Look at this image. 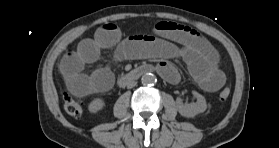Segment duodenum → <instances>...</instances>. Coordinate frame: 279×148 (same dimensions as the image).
<instances>
[{"label":"duodenum","mask_w":279,"mask_h":148,"mask_svg":"<svg viewBox=\"0 0 279 148\" xmlns=\"http://www.w3.org/2000/svg\"><path fill=\"white\" fill-rule=\"evenodd\" d=\"M154 70L155 68L152 65L139 66L121 76V78L119 79V84L123 86L131 81L139 79L143 75L153 72Z\"/></svg>","instance_id":"410a0bca"}]
</instances>
